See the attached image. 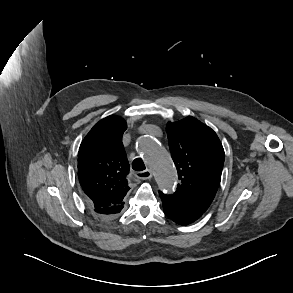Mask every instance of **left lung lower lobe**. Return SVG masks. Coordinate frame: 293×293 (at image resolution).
<instances>
[{"mask_svg":"<svg viewBox=\"0 0 293 293\" xmlns=\"http://www.w3.org/2000/svg\"><path fill=\"white\" fill-rule=\"evenodd\" d=\"M159 195L161 197L163 210L166 216L180 225L190 224L202 215V213L182 205L170 196L164 195L161 192Z\"/></svg>","mask_w":293,"mask_h":293,"instance_id":"obj_1","label":"left lung lower lobe"}]
</instances>
